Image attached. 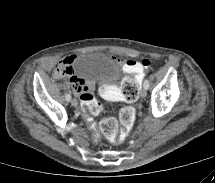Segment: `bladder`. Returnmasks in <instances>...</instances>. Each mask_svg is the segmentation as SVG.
Returning a JSON list of instances; mask_svg holds the SVG:
<instances>
[{"label":"bladder","instance_id":"obj_1","mask_svg":"<svg viewBox=\"0 0 215 183\" xmlns=\"http://www.w3.org/2000/svg\"><path fill=\"white\" fill-rule=\"evenodd\" d=\"M73 70L81 77L93 81L100 92L114 87L123 73L118 61L98 51L77 56Z\"/></svg>","mask_w":215,"mask_h":183}]
</instances>
